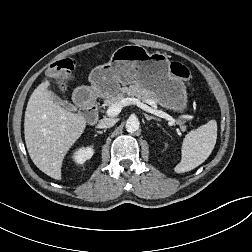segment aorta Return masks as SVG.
Masks as SVG:
<instances>
[{"label":"aorta","instance_id":"obj_1","mask_svg":"<svg viewBox=\"0 0 252 252\" xmlns=\"http://www.w3.org/2000/svg\"><path fill=\"white\" fill-rule=\"evenodd\" d=\"M126 130L128 132H135L139 129L140 127V123L139 120L136 117H130L127 121H126Z\"/></svg>","mask_w":252,"mask_h":252}]
</instances>
